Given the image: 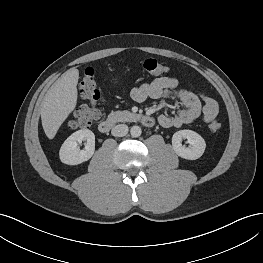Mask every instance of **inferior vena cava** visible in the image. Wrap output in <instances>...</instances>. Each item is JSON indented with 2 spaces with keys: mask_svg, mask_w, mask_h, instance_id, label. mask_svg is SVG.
<instances>
[{
  "mask_svg": "<svg viewBox=\"0 0 263 263\" xmlns=\"http://www.w3.org/2000/svg\"><path fill=\"white\" fill-rule=\"evenodd\" d=\"M128 126L125 124H119L112 128V135L116 137H123L128 133Z\"/></svg>",
  "mask_w": 263,
  "mask_h": 263,
  "instance_id": "obj_1",
  "label": "inferior vena cava"
}]
</instances>
